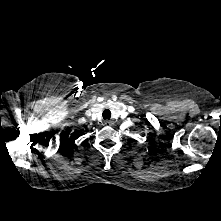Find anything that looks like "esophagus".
<instances>
[{
	"label": "esophagus",
	"instance_id": "34e87169",
	"mask_svg": "<svg viewBox=\"0 0 221 221\" xmlns=\"http://www.w3.org/2000/svg\"><path fill=\"white\" fill-rule=\"evenodd\" d=\"M104 124H105V126H112V121H109V120H106L105 122H104Z\"/></svg>",
	"mask_w": 221,
	"mask_h": 221
}]
</instances>
